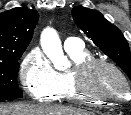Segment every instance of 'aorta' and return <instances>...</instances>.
<instances>
[{
  "mask_svg": "<svg viewBox=\"0 0 131 115\" xmlns=\"http://www.w3.org/2000/svg\"><path fill=\"white\" fill-rule=\"evenodd\" d=\"M40 42L44 53L52 61L54 67L60 71L64 70L67 59L57 32L52 28H46L41 34Z\"/></svg>",
  "mask_w": 131,
  "mask_h": 115,
  "instance_id": "obj_1",
  "label": "aorta"
}]
</instances>
